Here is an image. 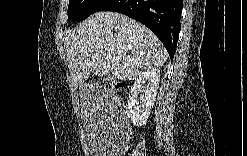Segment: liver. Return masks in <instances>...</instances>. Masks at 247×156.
Returning a JSON list of instances; mask_svg holds the SVG:
<instances>
[{
    "mask_svg": "<svg viewBox=\"0 0 247 156\" xmlns=\"http://www.w3.org/2000/svg\"><path fill=\"white\" fill-rule=\"evenodd\" d=\"M68 68L74 85L91 73L136 79L143 70L162 66L168 58L162 43L144 25L115 12H97L65 37ZM119 57V61L115 58Z\"/></svg>",
    "mask_w": 247,
    "mask_h": 156,
    "instance_id": "1",
    "label": "liver"
}]
</instances>
